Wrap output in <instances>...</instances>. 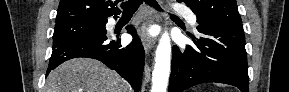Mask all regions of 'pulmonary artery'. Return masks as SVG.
Instances as JSON below:
<instances>
[{"instance_id":"1","label":"pulmonary artery","mask_w":289,"mask_h":92,"mask_svg":"<svg viewBox=\"0 0 289 92\" xmlns=\"http://www.w3.org/2000/svg\"><path fill=\"white\" fill-rule=\"evenodd\" d=\"M174 10L182 15H184L188 22L192 25V26H195L196 23H197V18H196V15L191 11L189 10L188 8H185V7H181V6H176L174 8Z\"/></svg>"}]
</instances>
